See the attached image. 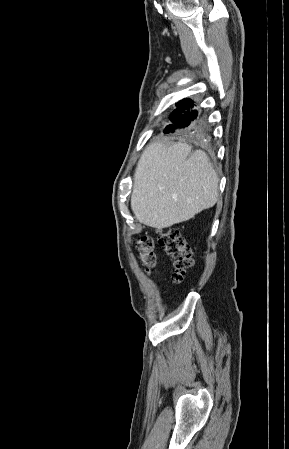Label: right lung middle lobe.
<instances>
[{
	"label": "right lung middle lobe",
	"instance_id": "1",
	"mask_svg": "<svg viewBox=\"0 0 289 449\" xmlns=\"http://www.w3.org/2000/svg\"><path fill=\"white\" fill-rule=\"evenodd\" d=\"M172 117V114L170 115V118ZM164 133H173V132H170V130L168 129V128H166L165 129V131H164Z\"/></svg>",
	"mask_w": 289,
	"mask_h": 449
}]
</instances>
